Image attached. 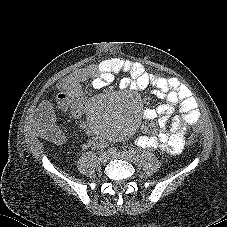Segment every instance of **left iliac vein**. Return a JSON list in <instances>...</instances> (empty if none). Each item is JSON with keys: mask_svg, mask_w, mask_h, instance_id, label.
I'll return each mask as SVG.
<instances>
[{"mask_svg": "<svg viewBox=\"0 0 227 227\" xmlns=\"http://www.w3.org/2000/svg\"><path fill=\"white\" fill-rule=\"evenodd\" d=\"M112 157L124 159L129 162H132L134 160L133 155L129 154L128 152H117V153H114Z\"/></svg>", "mask_w": 227, "mask_h": 227, "instance_id": "obj_1", "label": "left iliac vein"}]
</instances>
